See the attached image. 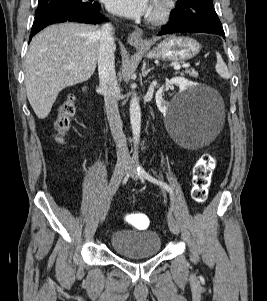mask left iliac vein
<instances>
[{"label": "left iliac vein", "instance_id": "4c4485c4", "mask_svg": "<svg viewBox=\"0 0 267 301\" xmlns=\"http://www.w3.org/2000/svg\"><path fill=\"white\" fill-rule=\"evenodd\" d=\"M130 167H131V173L130 174H131L132 179L143 181V178L137 173V170H136L135 166L133 164H131ZM167 221H168V226L170 228V231L173 234L178 235L180 230H179V226L176 223V221L170 215H168Z\"/></svg>", "mask_w": 267, "mask_h": 301}]
</instances>
